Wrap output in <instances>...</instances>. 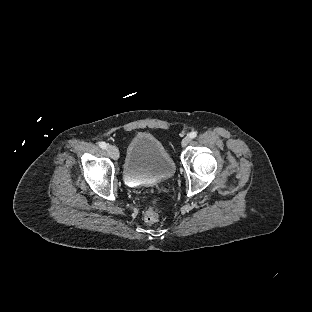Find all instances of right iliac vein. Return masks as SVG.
Returning a JSON list of instances; mask_svg holds the SVG:
<instances>
[{
  "mask_svg": "<svg viewBox=\"0 0 312 312\" xmlns=\"http://www.w3.org/2000/svg\"><path fill=\"white\" fill-rule=\"evenodd\" d=\"M108 154L113 158V159H118L119 157V151L117 149V147L113 146V145H108L106 148Z\"/></svg>",
  "mask_w": 312,
  "mask_h": 312,
  "instance_id": "1",
  "label": "right iliac vein"
}]
</instances>
